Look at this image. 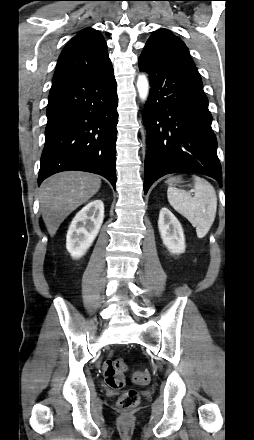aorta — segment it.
Here are the masks:
<instances>
[{
    "label": "aorta",
    "instance_id": "1",
    "mask_svg": "<svg viewBox=\"0 0 254 440\" xmlns=\"http://www.w3.org/2000/svg\"><path fill=\"white\" fill-rule=\"evenodd\" d=\"M139 96L142 101H146L149 95V82L145 74H140L137 81Z\"/></svg>",
    "mask_w": 254,
    "mask_h": 440
}]
</instances>
